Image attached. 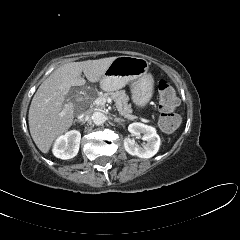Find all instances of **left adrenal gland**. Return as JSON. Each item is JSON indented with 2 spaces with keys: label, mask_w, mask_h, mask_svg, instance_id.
<instances>
[{
  "label": "left adrenal gland",
  "mask_w": 240,
  "mask_h": 240,
  "mask_svg": "<svg viewBox=\"0 0 240 240\" xmlns=\"http://www.w3.org/2000/svg\"><path fill=\"white\" fill-rule=\"evenodd\" d=\"M114 120H115L116 122H118V123L124 122V120L121 119V118H115Z\"/></svg>",
  "instance_id": "a2214340"
}]
</instances>
